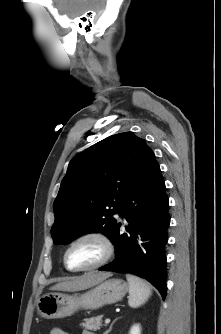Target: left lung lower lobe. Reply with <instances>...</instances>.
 I'll return each mask as SVG.
<instances>
[{
  "mask_svg": "<svg viewBox=\"0 0 221 334\" xmlns=\"http://www.w3.org/2000/svg\"><path fill=\"white\" fill-rule=\"evenodd\" d=\"M119 213L129 223L127 232L120 230L121 223L116 224L111 237L115 260L99 270L138 275L165 298L170 217L165 183L155 158L124 198Z\"/></svg>",
  "mask_w": 221,
  "mask_h": 334,
  "instance_id": "1",
  "label": "left lung lower lobe"
}]
</instances>
